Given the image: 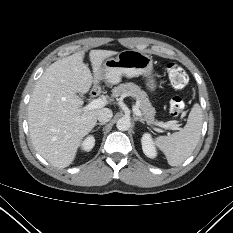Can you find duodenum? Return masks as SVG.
I'll return each mask as SVG.
<instances>
[{
	"label": "duodenum",
	"mask_w": 233,
	"mask_h": 233,
	"mask_svg": "<svg viewBox=\"0 0 233 233\" xmlns=\"http://www.w3.org/2000/svg\"><path fill=\"white\" fill-rule=\"evenodd\" d=\"M96 93L93 91V92H91V96H94Z\"/></svg>",
	"instance_id": "410a0bca"
}]
</instances>
